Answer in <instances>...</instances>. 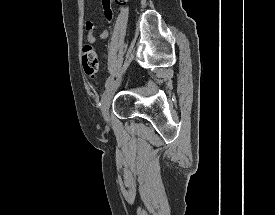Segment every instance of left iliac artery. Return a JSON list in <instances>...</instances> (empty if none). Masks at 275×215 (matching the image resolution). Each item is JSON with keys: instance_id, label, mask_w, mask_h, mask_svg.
Listing matches in <instances>:
<instances>
[{"instance_id": "44dca946", "label": "left iliac artery", "mask_w": 275, "mask_h": 215, "mask_svg": "<svg viewBox=\"0 0 275 215\" xmlns=\"http://www.w3.org/2000/svg\"><path fill=\"white\" fill-rule=\"evenodd\" d=\"M112 82H113V77L112 76L108 77L105 83L106 89L111 85Z\"/></svg>"}]
</instances>
